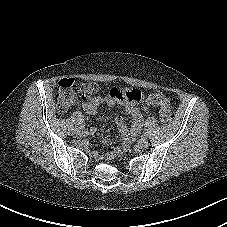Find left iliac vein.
I'll list each match as a JSON object with an SVG mask.
<instances>
[{"mask_svg": "<svg viewBox=\"0 0 227 227\" xmlns=\"http://www.w3.org/2000/svg\"><path fill=\"white\" fill-rule=\"evenodd\" d=\"M149 144V140L146 138H141L137 143L138 147L141 149L147 148Z\"/></svg>", "mask_w": 227, "mask_h": 227, "instance_id": "1", "label": "left iliac vein"}]
</instances>
